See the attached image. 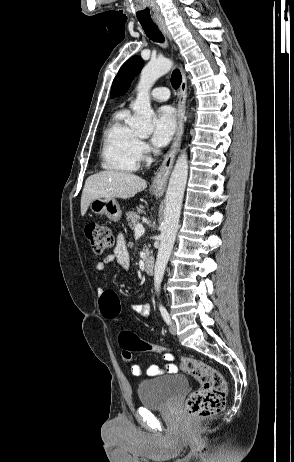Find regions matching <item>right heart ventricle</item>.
Listing matches in <instances>:
<instances>
[{
	"mask_svg": "<svg viewBox=\"0 0 294 462\" xmlns=\"http://www.w3.org/2000/svg\"><path fill=\"white\" fill-rule=\"evenodd\" d=\"M126 110L116 112L104 130L101 166L112 172H133L139 166L138 136L126 123Z\"/></svg>",
	"mask_w": 294,
	"mask_h": 462,
	"instance_id": "1",
	"label": "right heart ventricle"
}]
</instances>
